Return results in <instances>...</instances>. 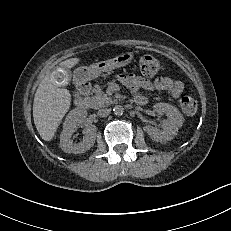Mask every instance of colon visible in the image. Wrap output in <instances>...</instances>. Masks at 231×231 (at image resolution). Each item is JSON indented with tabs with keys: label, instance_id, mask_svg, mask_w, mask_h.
Segmentation results:
<instances>
[{
	"label": "colon",
	"instance_id": "5ec220e1",
	"mask_svg": "<svg viewBox=\"0 0 231 231\" xmlns=\"http://www.w3.org/2000/svg\"><path fill=\"white\" fill-rule=\"evenodd\" d=\"M140 71L143 75L153 77L162 72L161 62L151 55L141 57L139 62ZM180 106L187 115H193L197 111V102L190 96H184L180 100Z\"/></svg>",
	"mask_w": 231,
	"mask_h": 231
}]
</instances>
